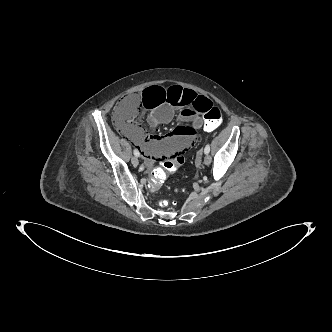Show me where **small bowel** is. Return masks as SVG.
Returning <instances> with one entry per match:
<instances>
[{
	"label": "small bowel",
	"instance_id": "c3829d8e",
	"mask_svg": "<svg viewBox=\"0 0 332 332\" xmlns=\"http://www.w3.org/2000/svg\"><path fill=\"white\" fill-rule=\"evenodd\" d=\"M141 101L149 112L148 122L152 128L170 122L176 110H179V119L183 121L172 132L162 135L147 134L137 124L120 126L115 122L120 133L142 151L148 166L163 159H177L192 147L198 138L197 129L202 128L201 114L212 105L209 98L179 85L168 88L161 84L149 85L144 89Z\"/></svg>",
	"mask_w": 332,
	"mask_h": 332
}]
</instances>
